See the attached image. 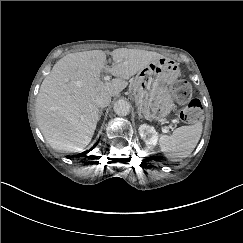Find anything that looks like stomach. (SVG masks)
I'll return each mask as SVG.
<instances>
[{"mask_svg": "<svg viewBox=\"0 0 243 243\" xmlns=\"http://www.w3.org/2000/svg\"><path fill=\"white\" fill-rule=\"evenodd\" d=\"M180 73L177 63L161 57L137 73L132 81L136 105L144 116L162 121L174 109V100L169 91Z\"/></svg>", "mask_w": 243, "mask_h": 243, "instance_id": "0dacf381", "label": "stomach"}]
</instances>
